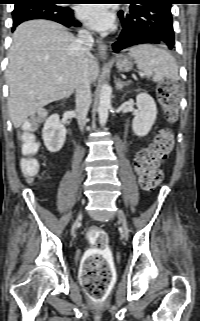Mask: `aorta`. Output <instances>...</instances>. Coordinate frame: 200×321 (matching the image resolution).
Masks as SVG:
<instances>
[{
  "instance_id": "obj_1",
  "label": "aorta",
  "mask_w": 200,
  "mask_h": 321,
  "mask_svg": "<svg viewBox=\"0 0 200 321\" xmlns=\"http://www.w3.org/2000/svg\"><path fill=\"white\" fill-rule=\"evenodd\" d=\"M111 94L112 90L108 84H103L100 91L98 114L99 123L104 126L108 119L109 109L111 107Z\"/></svg>"
}]
</instances>
